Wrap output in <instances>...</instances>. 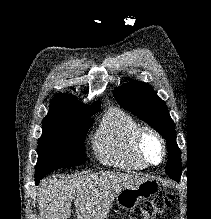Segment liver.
<instances>
[{
  "label": "liver",
  "mask_w": 211,
  "mask_h": 219,
  "mask_svg": "<svg viewBox=\"0 0 211 219\" xmlns=\"http://www.w3.org/2000/svg\"><path fill=\"white\" fill-rule=\"evenodd\" d=\"M146 179L138 175L99 172L74 178H45L38 189L39 219H69L74 201L77 219H106L116 196Z\"/></svg>",
  "instance_id": "obj_1"
}]
</instances>
